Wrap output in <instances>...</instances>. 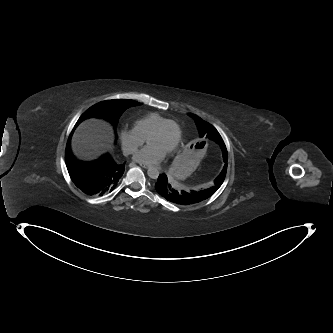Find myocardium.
<instances>
[{
  "label": "myocardium",
  "instance_id": "myocardium-1",
  "mask_svg": "<svg viewBox=\"0 0 333 333\" xmlns=\"http://www.w3.org/2000/svg\"><path fill=\"white\" fill-rule=\"evenodd\" d=\"M169 125H173L176 129H177V139L176 141L173 143V145L168 149V152H172L173 150L176 149V147L178 146L179 144V141H180V126L179 124L175 121V120H167L163 123H161L156 129H154L150 134L149 136L147 137V141H149V139L154 136V135H158L160 133H162L166 127H168Z\"/></svg>",
  "mask_w": 333,
  "mask_h": 333
}]
</instances>
